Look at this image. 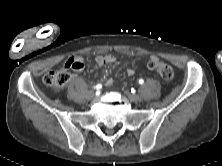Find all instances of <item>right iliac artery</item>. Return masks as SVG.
I'll return each mask as SVG.
<instances>
[{
    "instance_id": "82829eb1",
    "label": "right iliac artery",
    "mask_w": 222,
    "mask_h": 166,
    "mask_svg": "<svg viewBox=\"0 0 222 166\" xmlns=\"http://www.w3.org/2000/svg\"><path fill=\"white\" fill-rule=\"evenodd\" d=\"M101 87H102L101 84H97L96 86H94V88L97 89V90L100 89Z\"/></svg>"
}]
</instances>
